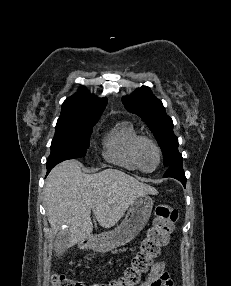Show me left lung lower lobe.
Instances as JSON below:
<instances>
[{
  "mask_svg": "<svg viewBox=\"0 0 231 286\" xmlns=\"http://www.w3.org/2000/svg\"><path fill=\"white\" fill-rule=\"evenodd\" d=\"M164 177H172L179 180L184 187L186 186V177L182 168V160L173 163L171 166L167 168V171Z\"/></svg>",
  "mask_w": 231,
  "mask_h": 286,
  "instance_id": "left-lung-lower-lobe-1",
  "label": "left lung lower lobe"
}]
</instances>
